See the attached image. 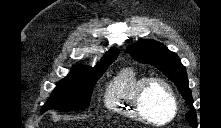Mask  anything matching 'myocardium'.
<instances>
[{
  "mask_svg": "<svg viewBox=\"0 0 221 128\" xmlns=\"http://www.w3.org/2000/svg\"><path fill=\"white\" fill-rule=\"evenodd\" d=\"M154 85H160L166 91L172 106L171 116L162 123L154 122L144 108L146 93ZM134 106L137 114L142 120L157 125H168L175 119L178 112V103L175 92L169 82L161 77H148L139 85L134 95Z\"/></svg>",
  "mask_w": 221,
  "mask_h": 128,
  "instance_id": "obj_1",
  "label": "myocardium"
}]
</instances>
